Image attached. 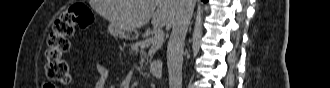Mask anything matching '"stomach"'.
<instances>
[{
  "mask_svg": "<svg viewBox=\"0 0 330 88\" xmlns=\"http://www.w3.org/2000/svg\"><path fill=\"white\" fill-rule=\"evenodd\" d=\"M120 37L123 38H132V34L129 31H121L118 33Z\"/></svg>",
  "mask_w": 330,
  "mask_h": 88,
  "instance_id": "0dacf381",
  "label": "stomach"
}]
</instances>
